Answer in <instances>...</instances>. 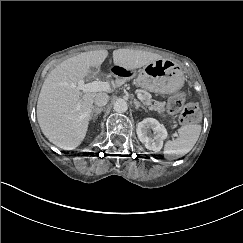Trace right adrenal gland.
<instances>
[{"instance_id":"right-adrenal-gland-1","label":"right adrenal gland","mask_w":243,"mask_h":243,"mask_svg":"<svg viewBox=\"0 0 243 243\" xmlns=\"http://www.w3.org/2000/svg\"><path fill=\"white\" fill-rule=\"evenodd\" d=\"M104 108L102 107H96L95 109H93V111L91 112V119L90 121L95 122L96 119L98 118V115L103 112Z\"/></svg>"}]
</instances>
